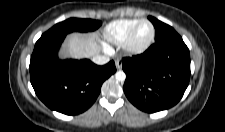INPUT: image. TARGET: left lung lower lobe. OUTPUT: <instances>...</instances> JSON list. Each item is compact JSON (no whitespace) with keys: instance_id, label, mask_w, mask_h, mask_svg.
Returning a JSON list of instances; mask_svg holds the SVG:
<instances>
[{"instance_id":"0a47b994","label":"left lung lower lobe","mask_w":225,"mask_h":132,"mask_svg":"<svg viewBox=\"0 0 225 132\" xmlns=\"http://www.w3.org/2000/svg\"><path fill=\"white\" fill-rule=\"evenodd\" d=\"M154 24L161 21L149 17ZM124 92L138 109L153 113L174 106L190 79L189 49L177 35L155 42L144 53L122 59Z\"/></svg>"}]
</instances>
